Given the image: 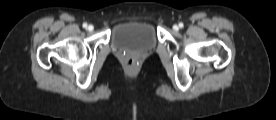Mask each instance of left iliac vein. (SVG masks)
Masks as SVG:
<instances>
[{
    "label": "left iliac vein",
    "instance_id": "1",
    "mask_svg": "<svg viewBox=\"0 0 276 120\" xmlns=\"http://www.w3.org/2000/svg\"><path fill=\"white\" fill-rule=\"evenodd\" d=\"M173 29H174L175 31H178L179 27H178L177 25H174V26H173Z\"/></svg>",
    "mask_w": 276,
    "mask_h": 120
}]
</instances>
